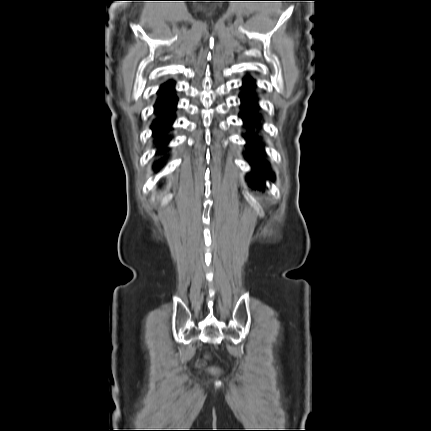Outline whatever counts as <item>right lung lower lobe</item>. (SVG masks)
I'll use <instances>...</instances> for the list:
<instances>
[{
  "mask_svg": "<svg viewBox=\"0 0 431 431\" xmlns=\"http://www.w3.org/2000/svg\"><path fill=\"white\" fill-rule=\"evenodd\" d=\"M175 85L173 82L162 85L158 91L159 98L155 104V119L152 130L155 137L157 154L166 152V146L171 140L170 131L174 123V112L177 107V98L174 96Z\"/></svg>",
  "mask_w": 431,
  "mask_h": 431,
  "instance_id": "obj_1",
  "label": "right lung lower lobe"
}]
</instances>
